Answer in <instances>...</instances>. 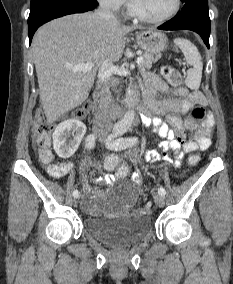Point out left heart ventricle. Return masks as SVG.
Here are the masks:
<instances>
[{"label": "left heart ventricle", "instance_id": "b2bd125f", "mask_svg": "<svg viewBox=\"0 0 233 284\" xmlns=\"http://www.w3.org/2000/svg\"><path fill=\"white\" fill-rule=\"evenodd\" d=\"M135 8L145 16L160 17L173 5V0H133Z\"/></svg>", "mask_w": 233, "mask_h": 284}]
</instances>
